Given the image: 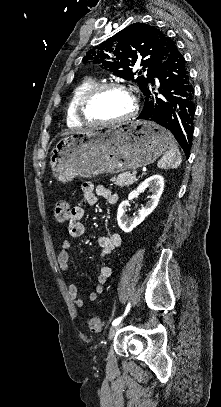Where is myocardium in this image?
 I'll return each mask as SVG.
<instances>
[{"label":"myocardium","mask_w":221,"mask_h":407,"mask_svg":"<svg viewBox=\"0 0 221 407\" xmlns=\"http://www.w3.org/2000/svg\"><path fill=\"white\" fill-rule=\"evenodd\" d=\"M111 89H120L126 91L132 98L133 106L131 111L123 117L105 120L94 117L90 112V106L92 103L105 91ZM139 109L138 99L134 91L122 83L118 82H107L102 84H97L91 89H89L79 100L77 104V110L80 119L85 123H91L95 125H110V124H120L126 122L133 118Z\"/></svg>","instance_id":"1"}]
</instances>
